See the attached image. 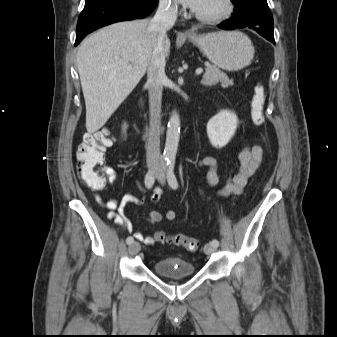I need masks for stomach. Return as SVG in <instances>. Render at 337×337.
<instances>
[{"label": "stomach", "instance_id": "0dacf381", "mask_svg": "<svg viewBox=\"0 0 337 337\" xmlns=\"http://www.w3.org/2000/svg\"><path fill=\"white\" fill-rule=\"evenodd\" d=\"M189 39L211 63L227 71H238L247 67L254 56L251 40L239 31L194 34Z\"/></svg>", "mask_w": 337, "mask_h": 337}]
</instances>
